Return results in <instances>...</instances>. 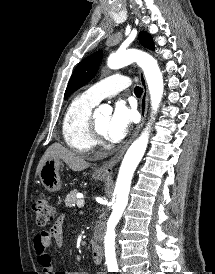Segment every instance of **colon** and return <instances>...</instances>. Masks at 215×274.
<instances>
[{
	"instance_id": "obj_1",
	"label": "colon",
	"mask_w": 215,
	"mask_h": 274,
	"mask_svg": "<svg viewBox=\"0 0 215 274\" xmlns=\"http://www.w3.org/2000/svg\"><path fill=\"white\" fill-rule=\"evenodd\" d=\"M35 222L38 227H45L54 219V207L45 197H38L33 204Z\"/></svg>"
}]
</instances>
